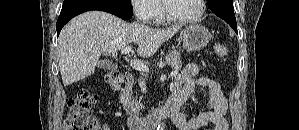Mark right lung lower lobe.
Wrapping results in <instances>:
<instances>
[{
  "label": "right lung lower lobe",
  "mask_w": 299,
  "mask_h": 130,
  "mask_svg": "<svg viewBox=\"0 0 299 130\" xmlns=\"http://www.w3.org/2000/svg\"><path fill=\"white\" fill-rule=\"evenodd\" d=\"M91 10L105 11L124 20H128L133 15L131 4L122 0H64L56 24L57 34L59 35L62 27L70 19L80 13Z\"/></svg>",
  "instance_id": "98d812e1"
}]
</instances>
